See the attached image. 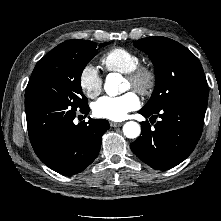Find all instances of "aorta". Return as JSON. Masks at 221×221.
I'll return each mask as SVG.
<instances>
[{
    "mask_svg": "<svg viewBox=\"0 0 221 221\" xmlns=\"http://www.w3.org/2000/svg\"><path fill=\"white\" fill-rule=\"evenodd\" d=\"M122 77L118 73H110L107 75L104 90L109 96H116L120 92V83ZM123 134L130 139L137 138L141 133L140 125L135 121H128L123 126Z\"/></svg>",
    "mask_w": 221,
    "mask_h": 221,
    "instance_id": "aorta-1",
    "label": "aorta"
}]
</instances>
